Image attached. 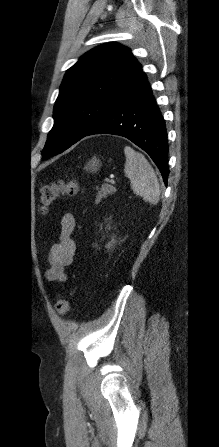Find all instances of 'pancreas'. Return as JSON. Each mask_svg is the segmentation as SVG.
Instances as JSON below:
<instances>
[{"mask_svg": "<svg viewBox=\"0 0 219 447\" xmlns=\"http://www.w3.org/2000/svg\"><path fill=\"white\" fill-rule=\"evenodd\" d=\"M116 192V189L113 186L104 184L100 188L96 196V203H99L102 198H106L108 195H112Z\"/></svg>", "mask_w": 219, "mask_h": 447, "instance_id": "pancreas-1", "label": "pancreas"}]
</instances>
